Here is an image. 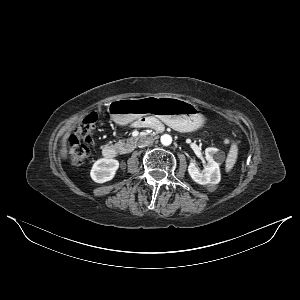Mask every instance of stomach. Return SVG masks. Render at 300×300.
Returning <instances> with one entry per match:
<instances>
[{"label": "stomach", "instance_id": "0dacf381", "mask_svg": "<svg viewBox=\"0 0 300 300\" xmlns=\"http://www.w3.org/2000/svg\"><path fill=\"white\" fill-rule=\"evenodd\" d=\"M108 112L114 122L126 125L140 117L153 115L183 132L195 131L205 124L196 105L171 96H147L112 101Z\"/></svg>", "mask_w": 300, "mask_h": 300}]
</instances>
